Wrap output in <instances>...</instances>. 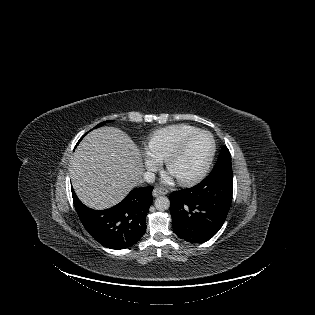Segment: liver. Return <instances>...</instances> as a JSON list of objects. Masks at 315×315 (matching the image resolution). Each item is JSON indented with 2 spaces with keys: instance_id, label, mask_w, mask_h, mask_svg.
Segmentation results:
<instances>
[{
  "instance_id": "1",
  "label": "liver",
  "mask_w": 315,
  "mask_h": 315,
  "mask_svg": "<svg viewBox=\"0 0 315 315\" xmlns=\"http://www.w3.org/2000/svg\"><path fill=\"white\" fill-rule=\"evenodd\" d=\"M142 158L123 131L101 127L87 134L72 156L70 175L79 199L93 209L119 203L140 181Z\"/></svg>"
}]
</instances>
